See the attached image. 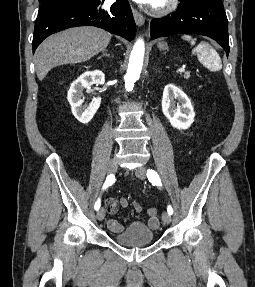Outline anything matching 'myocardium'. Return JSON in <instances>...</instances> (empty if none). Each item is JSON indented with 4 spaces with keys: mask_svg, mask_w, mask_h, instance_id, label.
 <instances>
[{
    "mask_svg": "<svg viewBox=\"0 0 255 287\" xmlns=\"http://www.w3.org/2000/svg\"><path fill=\"white\" fill-rule=\"evenodd\" d=\"M146 33H150V32H146ZM144 39V38H141ZM160 39H166V38H160ZM119 48H125V47H119ZM165 48H170V47H165Z\"/></svg>",
    "mask_w": 255,
    "mask_h": 287,
    "instance_id": "f54148a6",
    "label": "myocardium"
}]
</instances>
